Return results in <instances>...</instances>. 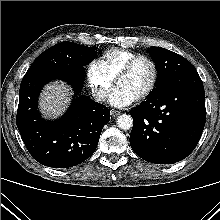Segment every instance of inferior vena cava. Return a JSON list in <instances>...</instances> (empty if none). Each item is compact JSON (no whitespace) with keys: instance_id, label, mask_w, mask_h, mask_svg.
<instances>
[{"instance_id":"1","label":"inferior vena cava","mask_w":220,"mask_h":220,"mask_svg":"<svg viewBox=\"0 0 220 220\" xmlns=\"http://www.w3.org/2000/svg\"><path fill=\"white\" fill-rule=\"evenodd\" d=\"M92 95L97 102L105 101L106 99V92L104 90L94 91Z\"/></svg>"}]
</instances>
